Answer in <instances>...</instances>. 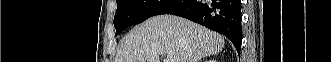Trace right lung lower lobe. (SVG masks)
Returning <instances> with one entry per match:
<instances>
[{"instance_id":"98d812e1","label":"right lung lower lobe","mask_w":331,"mask_h":62,"mask_svg":"<svg viewBox=\"0 0 331 62\" xmlns=\"http://www.w3.org/2000/svg\"><path fill=\"white\" fill-rule=\"evenodd\" d=\"M241 0H180L162 14H173L225 35L240 53Z\"/></svg>"}]
</instances>
